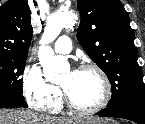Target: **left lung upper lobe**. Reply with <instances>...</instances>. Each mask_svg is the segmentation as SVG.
Wrapping results in <instances>:
<instances>
[{
    "label": "left lung upper lobe",
    "instance_id": "1",
    "mask_svg": "<svg viewBox=\"0 0 145 124\" xmlns=\"http://www.w3.org/2000/svg\"><path fill=\"white\" fill-rule=\"evenodd\" d=\"M77 8L81 14L79 43L111 83L112 98L107 107H145L134 32L123 4L119 0H78Z\"/></svg>",
    "mask_w": 145,
    "mask_h": 124
}]
</instances>
